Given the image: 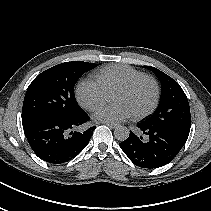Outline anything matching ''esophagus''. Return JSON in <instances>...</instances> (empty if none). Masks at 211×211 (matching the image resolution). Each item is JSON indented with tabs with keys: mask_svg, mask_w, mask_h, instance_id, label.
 I'll list each match as a JSON object with an SVG mask.
<instances>
[{
	"mask_svg": "<svg viewBox=\"0 0 211 211\" xmlns=\"http://www.w3.org/2000/svg\"><path fill=\"white\" fill-rule=\"evenodd\" d=\"M103 124L107 125L110 128H113V129L117 127V125L113 124V123L104 122Z\"/></svg>",
	"mask_w": 211,
	"mask_h": 211,
	"instance_id": "1",
	"label": "esophagus"
}]
</instances>
